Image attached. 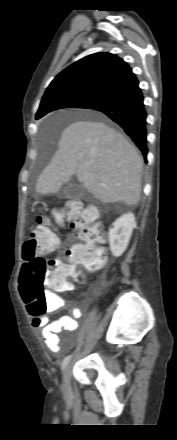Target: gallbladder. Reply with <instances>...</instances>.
I'll return each mask as SVG.
<instances>
[{
	"label": "gallbladder",
	"instance_id": "obj_1",
	"mask_svg": "<svg viewBox=\"0 0 177 440\" xmlns=\"http://www.w3.org/2000/svg\"><path fill=\"white\" fill-rule=\"evenodd\" d=\"M85 193L84 187L81 184L78 183H69L68 186L65 188L63 195L66 198H79L83 196Z\"/></svg>",
	"mask_w": 177,
	"mask_h": 440
}]
</instances>
